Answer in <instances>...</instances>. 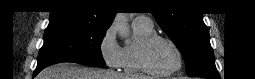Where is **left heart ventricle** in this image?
Listing matches in <instances>:
<instances>
[{"instance_id":"b2bd125f","label":"left heart ventricle","mask_w":255,"mask_h":79,"mask_svg":"<svg viewBox=\"0 0 255 79\" xmlns=\"http://www.w3.org/2000/svg\"><path fill=\"white\" fill-rule=\"evenodd\" d=\"M149 64L157 71H168L177 64L172 46L164 40H156L148 52Z\"/></svg>"}]
</instances>
